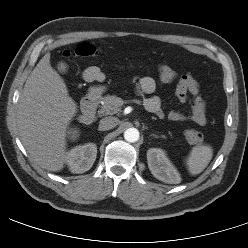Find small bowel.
<instances>
[{
  "mask_svg": "<svg viewBox=\"0 0 248 248\" xmlns=\"http://www.w3.org/2000/svg\"><path fill=\"white\" fill-rule=\"evenodd\" d=\"M83 79L87 82H102L105 79L104 73L95 66L88 67L83 72ZM156 90V82L150 76L141 78L138 86V92L144 96L143 104L147 111L157 115L160 118L167 117L171 121L182 122L191 121L198 125L206 123V103L200 95L198 82L191 74L180 76L176 84V96L181 103H190L191 112L188 115L176 110L166 113L161 105L158 96L153 95ZM189 93L192 98L189 99Z\"/></svg>",
  "mask_w": 248,
  "mask_h": 248,
  "instance_id": "c3829d8e",
  "label": "small bowel"
}]
</instances>
